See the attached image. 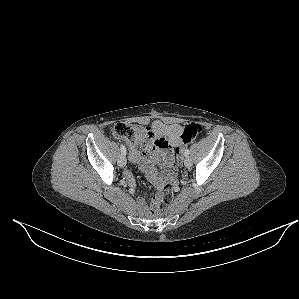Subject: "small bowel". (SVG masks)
I'll use <instances>...</instances> for the list:
<instances>
[{"instance_id":"small-bowel-1","label":"small bowel","mask_w":299,"mask_h":299,"mask_svg":"<svg viewBox=\"0 0 299 299\" xmlns=\"http://www.w3.org/2000/svg\"><path fill=\"white\" fill-rule=\"evenodd\" d=\"M183 126L180 124H165L155 120L151 127H148V135L139 145L127 142L129 148V159L140 166L141 171L149 181L157 188H160L164 181L173 180L174 170V149L182 143L181 135ZM160 164L162 169L158 171L156 165ZM125 177L134 185L132 174L125 171ZM140 210H147L145 201L142 198L137 200Z\"/></svg>"}]
</instances>
